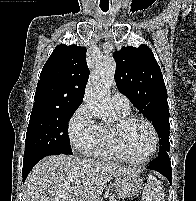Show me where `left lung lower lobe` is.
<instances>
[{"mask_svg":"<svg viewBox=\"0 0 196 201\" xmlns=\"http://www.w3.org/2000/svg\"><path fill=\"white\" fill-rule=\"evenodd\" d=\"M147 169L155 170L165 176L170 184L172 183V168L168 152L159 154L158 157L152 161Z\"/></svg>","mask_w":196,"mask_h":201,"instance_id":"obj_1","label":"left lung lower lobe"}]
</instances>
